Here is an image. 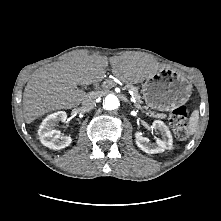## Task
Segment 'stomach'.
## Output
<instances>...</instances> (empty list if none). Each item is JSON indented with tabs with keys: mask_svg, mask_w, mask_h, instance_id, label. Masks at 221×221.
<instances>
[{
	"mask_svg": "<svg viewBox=\"0 0 221 221\" xmlns=\"http://www.w3.org/2000/svg\"><path fill=\"white\" fill-rule=\"evenodd\" d=\"M192 85L187 78L173 71H156L142 84L146 104L158 111H170L190 97Z\"/></svg>",
	"mask_w": 221,
	"mask_h": 221,
	"instance_id": "0dacf381",
	"label": "stomach"
}]
</instances>
